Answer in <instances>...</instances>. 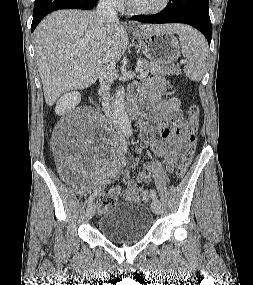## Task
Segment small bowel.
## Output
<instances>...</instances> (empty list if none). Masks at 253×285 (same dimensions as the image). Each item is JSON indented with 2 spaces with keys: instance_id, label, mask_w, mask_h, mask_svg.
<instances>
[{
  "instance_id": "obj_1",
  "label": "small bowel",
  "mask_w": 253,
  "mask_h": 285,
  "mask_svg": "<svg viewBox=\"0 0 253 285\" xmlns=\"http://www.w3.org/2000/svg\"><path fill=\"white\" fill-rule=\"evenodd\" d=\"M169 89V84L161 77H154L143 86L141 144L137 147V152L148 147L156 157L163 160L166 171H171L177 163L188 133V122L179 109V99L175 97L164 99ZM132 96L136 97L135 93H132ZM154 133H157L162 141L156 139ZM66 151V144L61 142L59 154L65 155ZM156 169L155 165L146 163L136 180L130 179L128 170L122 171L121 175L127 183L124 191L125 200H143L144 190L140 184L149 183ZM108 193L116 200L121 193V187L113 186Z\"/></svg>"
}]
</instances>
